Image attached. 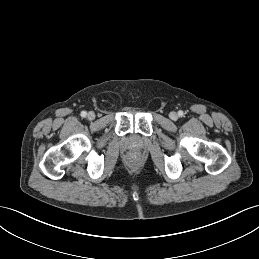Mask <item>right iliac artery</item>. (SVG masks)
<instances>
[{"label":"right iliac artery","mask_w":259,"mask_h":259,"mask_svg":"<svg viewBox=\"0 0 259 259\" xmlns=\"http://www.w3.org/2000/svg\"><path fill=\"white\" fill-rule=\"evenodd\" d=\"M82 117H86L87 116V112L86 111H82L80 114Z\"/></svg>","instance_id":"82829eb1"}]
</instances>
